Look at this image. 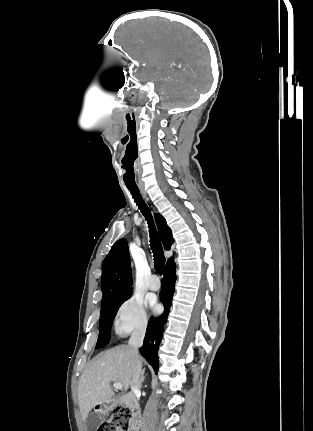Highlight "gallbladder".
<instances>
[{"label":"gallbladder","instance_id":"gallbladder-1","mask_svg":"<svg viewBox=\"0 0 313 431\" xmlns=\"http://www.w3.org/2000/svg\"><path fill=\"white\" fill-rule=\"evenodd\" d=\"M103 417L101 415H93L92 417L88 418L86 421V426L88 428V431H91L94 429L97 425H99L102 421Z\"/></svg>","mask_w":313,"mask_h":431}]
</instances>
